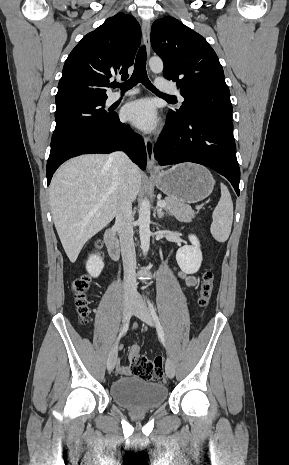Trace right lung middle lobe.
<instances>
[{
	"label": "right lung middle lobe",
	"instance_id": "obj_1",
	"mask_svg": "<svg viewBox=\"0 0 289 465\" xmlns=\"http://www.w3.org/2000/svg\"><path fill=\"white\" fill-rule=\"evenodd\" d=\"M105 100L84 99L57 104L56 127L51 145L79 130L104 125L111 121L114 114L107 113L104 109Z\"/></svg>",
	"mask_w": 289,
	"mask_h": 465
}]
</instances>
